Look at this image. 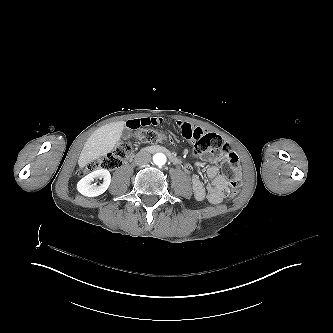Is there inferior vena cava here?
I'll use <instances>...</instances> for the list:
<instances>
[{
  "mask_svg": "<svg viewBox=\"0 0 333 333\" xmlns=\"http://www.w3.org/2000/svg\"><path fill=\"white\" fill-rule=\"evenodd\" d=\"M152 160V157L149 152H147L144 149H141L134 158V163L136 165L142 166L150 163Z\"/></svg>",
  "mask_w": 333,
  "mask_h": 333,
  "instance_id": "inferior-vena-cava-1",
  "label": "inferior vena cava"
}]
</instances>
